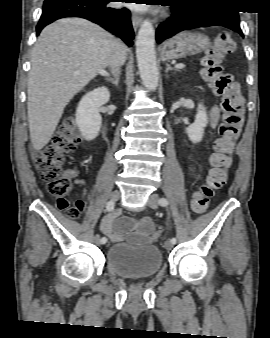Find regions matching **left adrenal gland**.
<instances>
[{
    "label": "left adrenal gland",
    "instance_id": "left-adrenal-gland-1",
    "mask_svg": "<svg viewBox=\"0 0 270 338\" xmlns=\"http://www.w3.org/2000/svg\"><path fill=\"white\" fill-rule=\"evenodd\" d=\"M170 70H174L172 67H171V65L170 64H166V73H168V71H170Z\"/></svg>",
    "mask_w": 270,
    "mask_h": 338
}]
</instances>
